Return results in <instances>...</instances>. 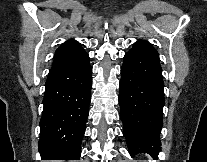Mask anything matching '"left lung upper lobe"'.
I'll return each mask as SVG.
<instances>
[{"label":"left lung upper lobe","mask_w":207,"mask_h":162,"mask_svg":"<svg viewBox=\"0 0 207 162\" xmlns=\"http://www.w3.org/2000/svg\"><path fill=\"white\" fill-rule=\"evenodd\" d=\"M130 51L159 58L157 50L150 43L144 41L136 42Z\"/></svg>","instance_id":"1"}]
</instances>
